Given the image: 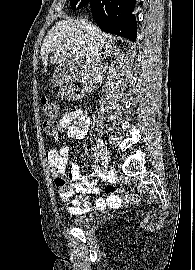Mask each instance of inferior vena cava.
<instances>
[{"label":"inferior vena cava","instance_id":"1","mask_svg":"<svg viewBox=\"0 0 195 270\" xmlns=\"http://www.w3.org/2000/svg\"><path fill=\"white\" fill-rule=\"evenodd\" d=\"M89 33H90V40H91V46H90V52L88 56L86 57V62L88 66L92 69L93 74H94V79L98 80L102 77L101 73V44L98 41L97 36L95 33L92 31V28L90 25L87 26Z\"/></svg>","mask_w":195,"mask_h":270}]
</instances>
